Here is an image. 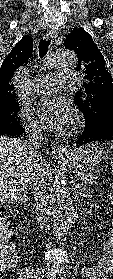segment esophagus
Masks as SVG:
<instances>
[{
    "label": "esophagus",
    "mask_w": 113,
    "mask_h": 279,
    "mask_svg": "<svg viewBox=\"0 0 113 279\" xmlns=\"http://www.w3.org/2000/svg\"><path fill=\"white\" fill-rule=\"evenodd\" d=\"M57 36V33L56 31L54 30H50L48 31L46 34H45V38L46 39H55ZM57 152L59 154V156H65L68 154L69 152V145L68 144H59L58 147H57Z\"/></svg>",
    "instance_id": "esophagus-1"
}]
</instances>
